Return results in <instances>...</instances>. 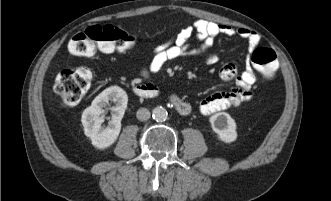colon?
Segmentation results:
<instances>
[{
  "label": "colon",
  "mask_w": 331,
  "mask_h": 201,
  "mask_svg": "<svg viewBox=\"0 0 331 201\" xmlns=\"http://www.w3.org/2000/svg\"><path fill=\"white\" fill-rule=\"evenodd\" d=\"M135 37L112 25H94L74 35L68 50L77 56H90L96 52L110 53L126 51L135 45ZM252 62L266 75L272 76L277 68L275 52L270 48H257L251 56ZM92 83V73L85 67L62 70L55 82V92L62 104L70 107L79 103Z\"/></svg>",
  "instance_id": "obj_1"
}]
</instances>
